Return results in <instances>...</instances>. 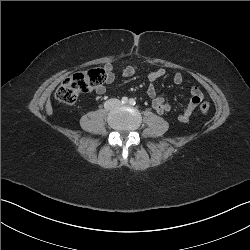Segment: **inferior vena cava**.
I'll list each match as a JSON object with an SVG mask.
<instances>
[{
	"mask_svg": "<svg viewBox=\"0 0 250 250\" xmlns=\"http://www.w3.org/2000/svg\"><path fill=\"white\" fill-rule=\"evenodd\" d=\"M115 102H116V105L120 104V102L118 100H115ZM107 108H111V106H107Z\"/></svg>",
	"mask_w": 250,
	"mask_h": 250,
	"instance_id": "inferior-vena-cava-1",
	"label": "inferior vena cava"
}]
</instances>
